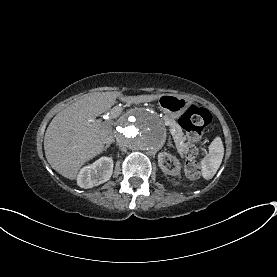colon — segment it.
<instances>
[{
	"label": "colon",
	"instance_id": "1",
	"mask_svg": "<svg viewBox=\"0 0 277 277\" xmlns=\"http://www.w3.org/2000/svg\"><path fill=\"white\" fill-rule=\"evenodd\" d=\"M210 122V112L196 106H190L179 119L181 128L187 133V140L179 147V151L184 172L190 179H198L201 175L198 143Z\"/></svg>",
	"mask_w": 277,
	"mask_h": 277
}]
</instances>
